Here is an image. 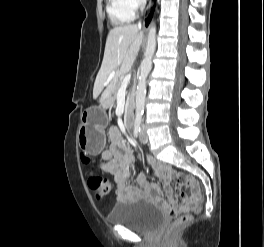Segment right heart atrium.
<instances>
[{"label":"right heart atrium","mask_w":264,"mask_h":247,"mask_svg":"<svg viewBox=\"0 0 264 247\" xmlns=\"http://www.w3.org/2000/svg\"><path fill=\"white\" fill-rule=\"evenodd\" d=\"M123 7L134 14L144 5V0H120Z\"/></svg>","instance_id":"right-heart-atrium-1"}]
</instances>
